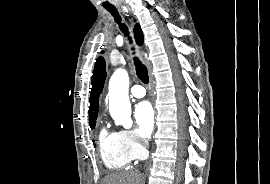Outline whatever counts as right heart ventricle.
<instances>
[{
    "instance_id": "obj_1",
    "label": "right heart ventricle",
    "mask_w": 270,
    "mask_h": 184,
    "mask_svg": "<svg viewBox=\"0 0 270 184\" xmlns=\"http://www.w3.org/2000/svg\"><path fill=\"white\" fill-rule=\"evenodd\" d=\"M99 149L105 166L109 169H122L133 160L123 146L118 132L102 128L99 133Z\"/></svg>"
}]
</instances>
